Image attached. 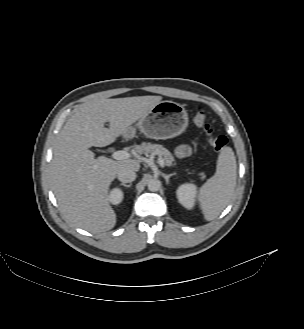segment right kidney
I'll return each instance as SVG.
<instances>
[{
    "instance_id": "1",
    "label": "right kidney",
    "mask_w": 304,
    "mask_h": 329,
    "mask_svg": "<svg viewBox=\"0 0 304 329\" xmlns=\"http://www.w3.org/2000/svg\"><path fill=\"white\" fill-rule=\"evenodd\" d=\"M123 198H124V194H123L122 190H120L118 188L112 189L109 194V201L113 205L120 204L122 202Z\"/></svg>"
}]
</instances>
